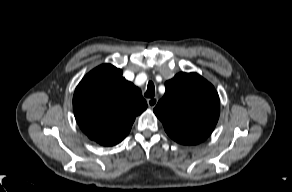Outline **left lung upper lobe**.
Here are the masks:
<instances>
[{
	"label": "left lung upper lobe",
	"instance_id": "obj_1",
	"mask_svg": "<svg viewBox=\"0 0 292 192\" xmlns=\"http://www.w3.org/2000/svg\"><path fill=\"white\" fill-rule=\"evenodd\" d=\"M166 92L154 108L166 133L176 142L194 145L212 133L220 112L215 88L197 73H179L165 83Z\"/></svg>",
	"mask_w": 292,
	"mask_h": 192
}]
</instances>
